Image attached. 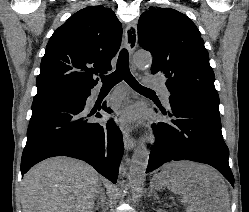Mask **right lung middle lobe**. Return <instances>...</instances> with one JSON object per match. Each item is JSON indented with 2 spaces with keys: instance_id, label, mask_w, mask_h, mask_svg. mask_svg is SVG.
<instances>
[{
  "instance_id": "dd1d6c3e",
  "label": "right lung middle lobe",
  "mask_w": 249,
  "mask_h": 212,
  "mask_svg": "<svg viewBox=\"0 0 249 212\" xmlns=\"http://www.w3.org/2000/svg\"><path fill=\"white\" fill-rule=\"evenodd\" d=\"M78 92H56V93H51L39 97H34L35 99H52V98H59V97H64V96H71L74 94H77Z\"/></svg>"
}]
</instances>
